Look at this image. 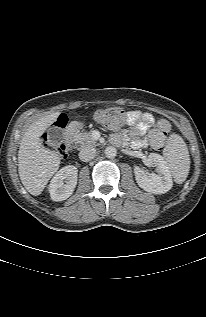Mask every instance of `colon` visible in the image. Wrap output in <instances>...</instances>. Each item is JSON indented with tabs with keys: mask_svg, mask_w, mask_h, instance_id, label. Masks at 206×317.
<instances>
[{
	"mask_svg": "<svg viewBox=\"0 0 206 317\" xmlns=\"http://www.w3.org/2000/svg\"><path fill=\"white\" fill-rule=\"evenodd\" d=\"M97 121L103 126L112 129L118 130L121 129L128 122V113L121 108L113 107L102 109L96 114ZM67 120L65 118H60L58 123L65 125ZM45 140L48 139L45 137ZM59 154L61 156H66L67 149L64 145H61L58 148Z\"/></svg>",
	"mask_w": 206,
	"mask_h": 317,
	"instance_id": "colon-1",
	"label": "colon"
}]
</instances>
